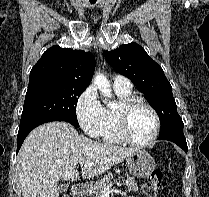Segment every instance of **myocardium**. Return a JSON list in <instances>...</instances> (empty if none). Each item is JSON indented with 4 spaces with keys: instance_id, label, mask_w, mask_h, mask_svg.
<instances>
[{
    "instance_id": "f54148a6",
    "label": "myocardium",
    "mask_w": 209,
    "mask_h": 197,
    "mask_svg": "<svg viewBox=\"0 0 209 197\" xmlns=\"http://www.w3.org/2000/svg\"><path fill=\"white\" fill-rule=\"evenodd\" d=\"M139 104L146 106L151 111L154 117L153 132L151 136L145 141L135 140L131 136L129 132V127H128L129 113L136 105H139ZM116 113H117L118 129H119L121 137L123 138L125 142L133 146H138V147L150 146L151 144L155 142V140L157 139L159 135L161 121H160V116L157 110L147 100L139 96H131L127 100L121 101L119 107L116 109Z\"/></svg>"
}]
</instances>
